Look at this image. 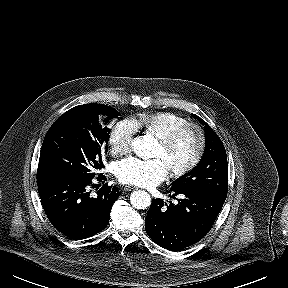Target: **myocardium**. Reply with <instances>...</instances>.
Wrapping results in <instances>:
<instances>
[{
	"instance_id": "obj_1",
	"label": "myocardium",
	"mask_w": 288,
	"mask_h": 288,
	"mask_svg": "<svg viewBox=\"0 0 288 288\" xmlns=\"http://www.w3.org/2000/svg\"><path fill=\"white\" fill-rule=\"evenodd\" d=\"M188 131H193L196 133L197 138H198L197 148L192 158L189 161H187L185 164L179 167L170 168L171 175L176 178L184 176L185 174L189 173L201 161L204 151H205V147H206L205 132L200 125L193 123V122H186L180 126L173 128L172 130H170L165 135L159 138V142L166 149H168L175 143V141L180 136H182L184 133Z\"/></svg>"
}]
</instances>
